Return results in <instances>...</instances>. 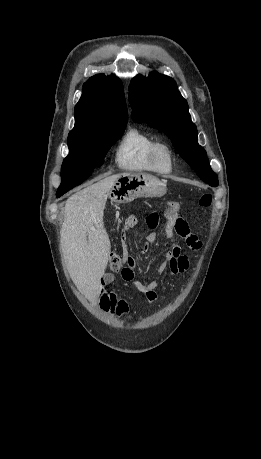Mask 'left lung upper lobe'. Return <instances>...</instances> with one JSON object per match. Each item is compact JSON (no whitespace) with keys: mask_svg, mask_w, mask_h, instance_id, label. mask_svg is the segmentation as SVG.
<instances>
[{"mask_svg":"<svg viewBox=\"0 0 261 459\" xmlns=\"http://www.w3.org/2000/svg\"><path fill=\"white\" fill-rule=\"evenodd\" d=\"M128 97L135 122H147L164 132L197 175L210 186H218V177L210 167L206 151L197 142V129L191 121L188 104L172 78L156 72L148 77H135Z\"/></svg>","mask_w":261,"mask_h":459,"instance_id":"left-lung-upper-lobe-1","label":"left lung upper lobe"}]
</instances>
